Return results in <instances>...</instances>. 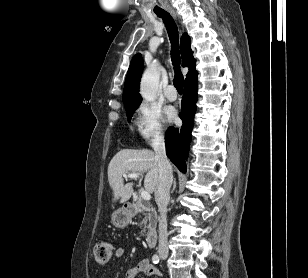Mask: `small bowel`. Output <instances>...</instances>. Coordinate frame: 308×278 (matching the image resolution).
I'll use <instances>...</instances> for the list:
<instances>
[{"instance_id": "obj_1", "label": "small bowel", "mask_w": 308, "mask_h": 278, "mask_svg": "<svg viewBox=\"0 0 308 278\" xmlns=\"http://www.w3.org/2000/svg\"><path fill=\"white\" fill-rule=\"evenodd\" d=\"M125 255L126 250L124 248H117L114 251V257L116 259L122 258ZM140 274H144L150 278H160L161 276L159 270L155 268L148 259H143L137 267L128 270L125 278H136Z\"/></svg>"}]
</instances>
